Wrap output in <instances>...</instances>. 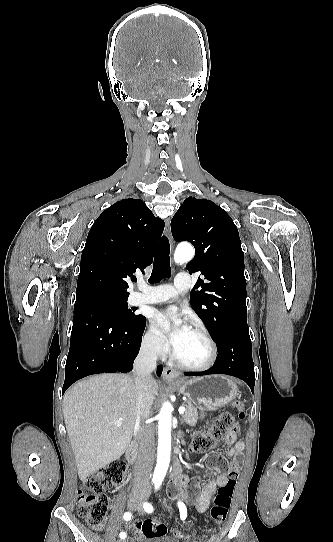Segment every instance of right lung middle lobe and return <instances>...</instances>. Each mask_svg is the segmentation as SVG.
<instances>
[{
	"label": "right lung middle lobe",
	"instance_id": "dd1d6c3e",
	"mask_svg": "<svg viewBox=\"0 0 333 542\" xmlns=\"http://www.w3.org/2000/svg\"><path fill=\"white\" fill-rule=\"evenodd\" d=\"M85 300H93L102 306H104L114 317L124 320L128 323H138L145 319L142 315H136L133 311L135 309H129L127 304V298L119 297L109 293H92L87 295Z\"/></svg>",
	"mask_w": 333,
	"mask_h": 542
}]
</instances>
